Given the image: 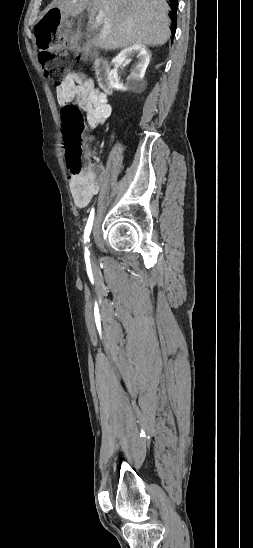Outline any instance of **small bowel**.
Wrapping results in <instances>:
<instances>
[{
    "label": "small bowel",
    "mask_w": 253,
    "mask_h": 548,
    "mask_svg": "<svg viewBox=\"0 0 253 548\" xmlns=\"http://www.w3.org/2000/svg\"><path fill=\"white\" fill-rule=\"evenodd\" d=\"M57 102L62 105L77 104L87 113V121L96 129L104 124L111 113L106 96L94 85L91 78L82 72H70L56 88ZM104 172L100 167H88L81 175L70 178V191L78 208L86 207L99 192Z\"/></svg>",
    "instance_id": "c3829d8e"
}]
</instances>
